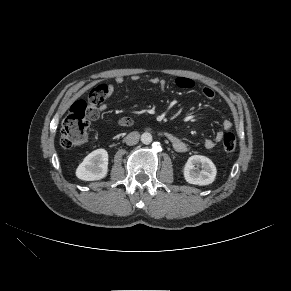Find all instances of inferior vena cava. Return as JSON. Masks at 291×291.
Returning a JSON list of instances; mask_svg holds the SVG:
<instances>
[{"label":"inferior vena cava","mask_w":291,"mask_h":291,"mask_svg":"<svg viewBox=\"0 0 291 291\" xmlns=\"http://www.w3.org/2000/svg\"><path fill=\"white\" fill-rule=\"evenodd\" d=\"M140 138V134L136 131L129 133L125 138V142L127 145L132 146L138 143Z\"/></svg>","instance_id":"inferior-vena-cava-1"}]
</instances>
